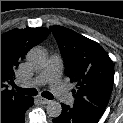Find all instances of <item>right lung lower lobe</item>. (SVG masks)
I'll return each instance as SVG.
<instances>
[{
	"label": "right lung lower lobe",
	"mask_w": 123,
	"mask_h": 123,
	"mask_svg": "<svg viewBox=\"0 0 123 123\" xmlns=\"http://www.w3.org/2000/svg\"><path fill=\"white\" fill-rule=\"evenodd\" d=\"M33 98L27 97L23 102L1 109V123H25V112L33 105Z\"/></svg>",
	"instance_id": "1"
}]
</instances>
